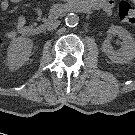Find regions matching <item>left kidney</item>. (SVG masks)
Returning a JSON list of instances; mask_svg holds the SVG:
<instances>
[{
	"label": "left kidney",
	"instance_id": "obj_1",
	"mask_svg": "<svg viewBox=\"0 0 135 135\" xmlns=\"http://www.w3.org/2000/svg\"><path fill=\"white\" fill-rule=\"evenodd\" d=\"M112 35H117L123 41V46L120 51H115L110 44ZM102 51L114 63H128L135 58V41L131 34L120 26H111L108 29L107 39L102 44Z\"/></svg>",
	"mask_w": 135,
	"mask_h": 135
}]
</instances>
